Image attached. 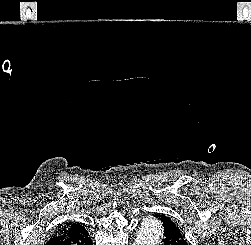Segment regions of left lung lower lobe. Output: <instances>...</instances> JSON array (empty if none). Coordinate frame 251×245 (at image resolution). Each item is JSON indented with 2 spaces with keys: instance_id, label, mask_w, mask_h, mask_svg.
I'll list each match as a JSON object with an SVG mask.
<instances>
[{
  "instance_id": "0a47b994",
  "label": "left lung lower lobe",
  "mask_w": 251,
  "mask_h": 245,
  "mask_svg": "<svg viewBox=\"0 0 251 245\" xmlns=\"http://www.w3.org/2000/svg\"><path fill=\"white\" fill-rule=\"evenodd\" d=\"M161 220V225L163 226V239L162 245H187L186 240L184 239L183 233L179 228L174 226L169 222L168 217L165 215H155ZM164 220V223L163 221Z\"/></svg>"
}]
</instances>
